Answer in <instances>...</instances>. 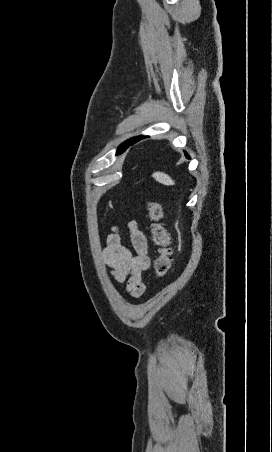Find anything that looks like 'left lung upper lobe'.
<instances>
[{
	"label": "left lung upper lobe",
	"mask_w": 272,
	"mask_h": 452,
	"mask_svg": "<svg viewBox=\"0 0 272 452\" xmlns=\"http://www.w3.org/2000/svg\"><path fill=\"white\" fill-rule=\"evenodd\" d=\"M128 143H129V140L126 141L125 143H123L122 146L120 147V149H126Z\"/></svg>",
	"instance_id": "obj_1"
}]
</instances>
